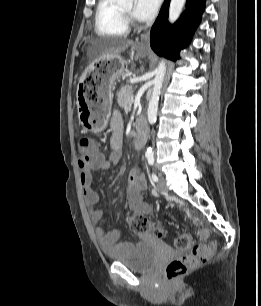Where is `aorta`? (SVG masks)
<instances>
[{"label":"aorta","instance_id":"1","mask_svg":"<svg viewBox=\"0 0 261 306\" xmlns=\"http://www.w3.org/2000/svg\"><path fill=\"white\" fill-rule=\"evenodd\" d=\"M133 0H117V3L120 5H132ZM186 0H171L169 7V17L168 20L170 23H174L180 16L183 6ZM166 72V63L164 60H161L157 69H156V77L154 79V86L151 95V99L148 105V121L149 124H154L157 119V111H158V102L159 96L162 89L164 77ZM153 151L151 148L147 149L146 156H152Z\"/></svg>","mask_w":261,"mask_h":306}]
</instances>
